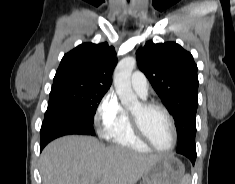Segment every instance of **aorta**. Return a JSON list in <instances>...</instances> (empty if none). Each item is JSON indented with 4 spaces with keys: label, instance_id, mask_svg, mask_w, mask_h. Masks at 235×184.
I'll return each mask as SVG.
<instances>
[{
    "label": "aorta",
    "instance_id": "1",
    "mask_svg": "<svg viewBox=\"0 0 235 184\" xmlns=\"http://www.w3.org/2000/svg\"><path fill=\"white\" fill-rule=\"evenodd\" d=\"M135 66V58H124L114 72V88L122 106H126V108L139 106L138 96L134 94L131 86V74Z\"/></svg>",
    "mask_w": 235,
    "mask_h": 184
}]
</instances>
